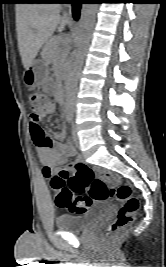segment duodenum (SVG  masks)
Returning a JSON list of instances; mask_svg holds the SVG:
<instances>
[{
  "instance_id": "1",
  "label": "duodenum",
  "mask_w": 166,
  "mask_h": 267,
  "mask_svg": "<svg viewBox=\"0 0 166 267\" xmlns=\"http://www.w3.org/2000/svg\"><path fill=\"white\" fill-rule=\"evenodd\" d=\"M70 82V78L68 75L64 76V78L62 79V89L63 91H65L68 88Z\"/></svg>"
}]
</instances>
